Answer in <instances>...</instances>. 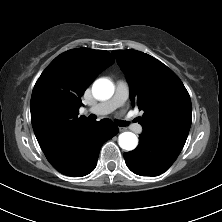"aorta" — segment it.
<instances>
[{"label": "aorta", "mask_w": 222, "mask_h": 222, "mask_svg": "<svg viewBox=\"0 0 222 222\" xmlns=\"http://www.w3.org/2000/svg\"><path fill=\"white\" fill-rule=\"evenodd\" d=\"M93 96L98 100H107L114 93L113 83L105 78H100L93 83ZM119 146L127 151L134 150L138 144L136 135L132 132H123L119 135Z\"/></svg>", "instance_id": "obj_1"}]
</instances>
